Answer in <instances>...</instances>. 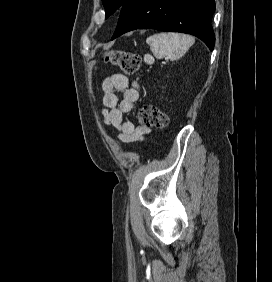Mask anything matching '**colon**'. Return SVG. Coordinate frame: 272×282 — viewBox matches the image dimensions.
Listing matches in <instances>:
<instances>
[{
    "label": "colon",
    "instance_id": "5ec220e1",
    "mask_svg": "<svg viewBox=\"0 0 272 282\" xmlns=\"http://www.w3.org/2000/svg\"><path fill=\"white\" fill-rule=\"evenodd\" d=\"M105 56L107 62L121 67L126 73L133 74L141 68L142 60L137 54L111 51ZM138 120L143 126H154L160 129H167L170 125L168 114L154 106H142L138 111Z\"/></svg>",
    "mask_w": 272,
    "mask_h": 282
}]
</instances>
